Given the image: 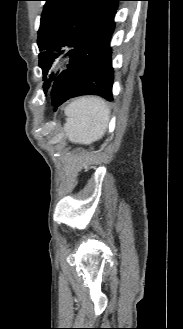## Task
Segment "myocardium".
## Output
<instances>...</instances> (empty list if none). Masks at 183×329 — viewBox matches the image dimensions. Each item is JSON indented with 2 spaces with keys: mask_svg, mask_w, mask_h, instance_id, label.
<instances>
[{
  "mask_svg": "<svg viewBox=\"0 0 183 329\" xmlns=\"http://www.w3.org/2000/svg\"><path fill=\"white\" fill-rule=\"evenodd\" d=\"M71 61V54L68 52L58 54L51 62L50 70L57 72L63 70Z\"/></svg>",
  "mask_w": 183,
  "mask_h": 329,
  "instance_id": "myocardium-1",
  "label": "myocardium"
}]
</instances>
